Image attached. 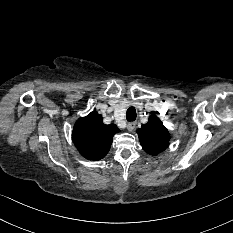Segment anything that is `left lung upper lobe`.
<instances>
[{
  "label": "left lung upper lobe",
  "mask_w": 233,
  "mask_h": 233,
  "mask_svg": "<svg viewBox=\"0 0 233 233\" xmlns=\"http://www.w3.org/2000/svg\"><path fill=\"white\" fill-rule=\"evenodd\" d=\"M137 133L141 146L150 155L159 154L169 145L170 134L156 115H151Z\"/></svg>",
  "instance_id": "left-lung-upper-lobe-1"
}]
</instances>
